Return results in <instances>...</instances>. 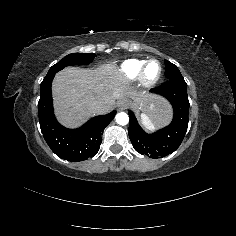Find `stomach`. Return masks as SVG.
Returning a JSON list of instances; mask_svg holds the SVG:
<instances>
[{
  "label": "stomach",
  "instance_id": "stomach-1",
  "mask_svg": "<svg viewBox=\"0 0 236 236\" xmlns=\"http://www.w3.org/2000/svg\"><path fill=\"white\" fill-rule=\"evenodd\" d=\"M128 100V99H127ZM128 102H129V105H132V102L130 101V100H128Z\"/></svg>",
  "mask_w": 236,
  "mask_h": 236
}]
</instances>
